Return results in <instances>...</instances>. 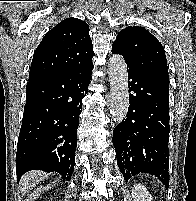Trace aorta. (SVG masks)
<instances>
[{"mask_svg":"<svg viewBox=\"0 0 196 201\" xmlns=\"http://www.w3.org/2000/svg\"><path fill=\"white\" fill-rule=\"evenodd\" d=\"M111 88L110 113L116 123L126 117L129 107L128 73L125 60L120 55H112L108 64Z\"/></svg>","mask_w":196,"mask_h":201,"instance_id":"1","label":"aorta"}]
</instances>
